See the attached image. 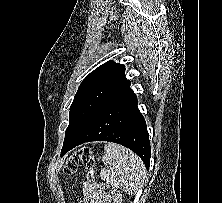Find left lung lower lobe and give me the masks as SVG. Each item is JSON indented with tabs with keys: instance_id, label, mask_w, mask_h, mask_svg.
<instances>
[{
	"instance_id": "left-lung-lower-lobe-1",
	"label": "left lung lower lobe",
	"mask_w": 222,
	"mask_h": 203,
	"mask_svg": "<svg viewBox=\"0 0 222 203\" xmlns=\"http://www.w3.org/2000/svg\"><path fill=\"white\" fill-rule=\"evenodd\" d=\"M90 141H110L134 151L146 168L150 163V142L145 120L137 108V97L127 81L98 109L82 132L63 145L61 156Z\"/></svg>"
}]
</instances>
